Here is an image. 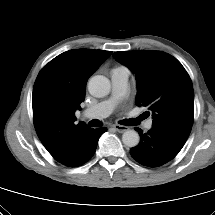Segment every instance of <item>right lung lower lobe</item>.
<instances>
[{"mask_svg": "<svg viewBox=\"0 0 215 215\" xmlns=\"http://www.w3.org/2000/svg\"><path fill=\"white\" fill-rule=\"evenodd\" d=\"M106 130V127L89 130L79 140V145L75 156L64 165L69 167H77L86 163L94 155L98 140Z\"/></svg>", "mask_w": 215, "mask_h": 215, "instance_id": "98d812e1", "label": "right lung lower lobe"}]
</instances>
